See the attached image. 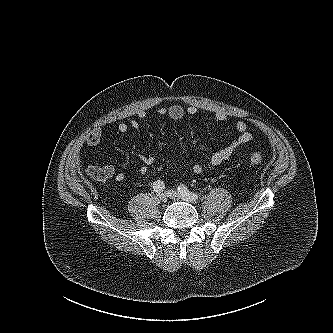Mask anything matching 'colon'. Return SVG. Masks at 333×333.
<instances>
[{
    "instance_id": "5ec220e1",
    "label": "colon",
    "mask_w": 333,
    "mask_h": 333,
    "mask_svg": "<svg viewBox=\"0 0 333 333\" xmlns=\"http://www.w3.org/2000/svg\"><path fill=\"white\" fill-rule=\"evenodd\" d=\"M250 162L255 167L260 166L263 163V157H262V155L259 152L253 151L250 154ZM156 170L158 172L162 171L163 167L162 166H158L156 168Z\"/></svg>"
}]
</instances>
